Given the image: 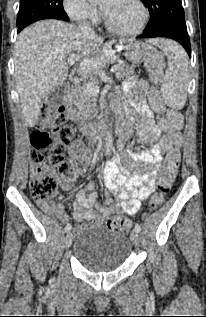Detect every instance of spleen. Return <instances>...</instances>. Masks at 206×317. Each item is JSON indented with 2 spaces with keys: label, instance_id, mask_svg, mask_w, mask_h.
<instances>
[{
  "label": "spleen",
  "instance_id": "3e777b00",
  "mask_svg": "<svg viewBox=\"0 0 206 317\" xmlns=\"http://www.w3.org/2000/svg\"><path fill=\"white\" fill-rule=\"evenodd\" d=\"M150 43L159 47L168 59L161 94L164 102L171 108L180 110L187 100L189 82V63L184 49L169 39H153Z\"/></svg>",
  "mask_w": 206,
  "mask_h": 317
}]
</instances>
